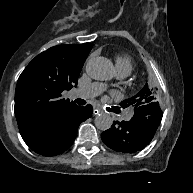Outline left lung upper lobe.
<instances>
[{
    "label": "left lung upper lobe",
    "mask_w": 193,
    "mask_h": 193,
    "mask_svg": "<svg viewBox=\"0 0 193 193\" xmlns=\"http://www.w3.org/2000/svg\"><path fill=\"white\" fill-rule=\"evenodd\" d=\"M156 102L155 92L151 91L146 84L143 89L134 97L122 102V105H132L135 109L146 104ZM158 103V102H157Z\"/></svg>",
    "instance_id": "obj_1"
}]
</instances>
